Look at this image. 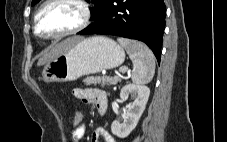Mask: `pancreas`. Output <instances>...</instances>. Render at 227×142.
Returning <instances> with one entry per match:
<instances>
[{
    "instance_id": "pancreas-1",
    "label": "pancreas",
    "mask_w": 227,
    "mask_h": 142,
    "mask_svg": "<svg viewBox=\"0 0 227 142\" xmlns=\"http://www.w3.org/2000/svg\"><path fill=\"white\" fill-rule=\"evenodd\" d=\"M83 82L86 85H101V86H112V85H116L118 82H121V77L120 76H114V77H110V76H88L86 77Z\"/></svg>"
}]
</instances>
